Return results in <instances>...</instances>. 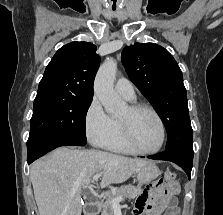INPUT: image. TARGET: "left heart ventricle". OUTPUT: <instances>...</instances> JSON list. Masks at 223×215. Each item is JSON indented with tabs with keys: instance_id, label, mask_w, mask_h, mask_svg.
Returning a JSON list of instances; mask_svg holds the SVG:
<instances>
[{
	"instance_id": "1",
	"label": "left heart ventricle",
	"mask_w": 223,
	"mask_h": 215,
	"mask_svg": "<svg viewBox=\"0 0 223 215\" xmlns=\"http://www.w3.org/2000/svg\"><path fill=\"white\" fill-rule=\"evenodd\" d=\"M119 118L129 121L132 140L139 150L149 151L158 145L160 140L159 126L149 112L140 111L131 115L127 107Z\"/></svg>"
}]
</instances>
